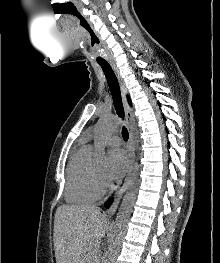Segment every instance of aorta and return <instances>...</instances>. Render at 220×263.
<instances>
[{"label": "aorta", "instance_id": "aorta-1", "mask_svg": "<svg viewBox=\"0 0 220 263\" xmlns=\"http://www.w3.org/2000/svg\"><path fill=\"white\" fill-rule=\"evenodd\" d=\"M120 121L115 117H102L96 128H95V145H96V154L95 162L99 166H105L107 163V157L104 150V140L106 137L117 129L120 125ZM135 141L139 143L138 132L134 133ZM139 164L135 162L131 177L127 186L126 193L123 197L121 206L119 208L115 225L111 234L110 244H109V255L108 263H112L119 251L120 244L124 232L127 227L129 217L131 215L136 196L138 191L139 183Z\"/></svg>", "mask_w": 220, "mask_h": 263}]
</instances>
